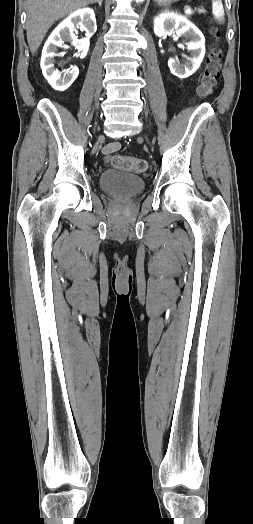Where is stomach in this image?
<instances>
[{
	"label": "stomach",
	"instance_id": "obj_1",
	"mask_svg": "<svg viewBox=\"0 0 253 524\" xmlns=\"http://www.w3.org/2000/svg\"><path fill=\"white\" fill-rule=\"evenodd\" d=\"M155 1H157L161 5H167V4H170V3L178 1V0H155Z\"/></svg>",
	"mask_w": 253,
	"mask_h": 524
}]
</instances>
